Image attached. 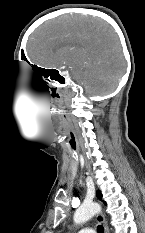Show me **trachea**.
I'll list each match as a JSON object with an SVG mask.
<instances>
[{"instance_id":"1","label":"trachea","mask_w":145,"mask_h":233,"mask_svg":"<svg viewBox=\"0 0 145 233\" xmlns=\"http://www.w3.org/2000/svg\"><path fill=\"white\" fill-rule=\"evenodd\" d=\"M98 233H104V228L102 225H99L97 228Z\"/></svg>"}]
</instances>
